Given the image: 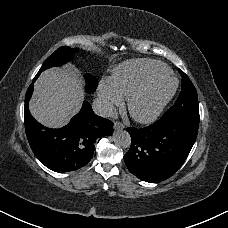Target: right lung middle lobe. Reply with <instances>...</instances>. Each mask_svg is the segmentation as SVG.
Masks as SVG:
<instances>
[{
    "label": "right lung middle lobe",
    "instance_id": "obj_1",
    "mask_svg": "<svg viewBox=\"0 0 228 228\" xmlns=\"http://www.w3.org/2000/svg\"><path fill=\"white\" fill-rule=\"evenodd\" d=\"M74 52V49L70 47H60L52 55H50L43 63L37 75L42 71L54 67L60 66L70 59V54ZM86 79V91L92 93L95 91L98 81L92 75H85Z\"/></svg>",
    "mask_w": 228,
    "mask_h": 228
}]
</instances>
